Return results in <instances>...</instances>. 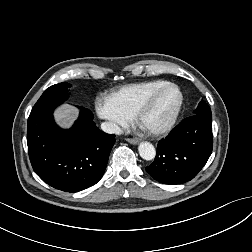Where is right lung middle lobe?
I'll return each instance as SVG.
<instances>
[{
    "label": "right lung middle lobe",
    "instance_id": "right-lung-middle-lobe-1",
    "mask_svg": "<svg viewBox=\"0 0 252 252\" xmlns=\"http://www.w3.org/2000/svg\"><path fill=\"white\" fill-rule=\"evenodd\" d=\"M69 87L71 85L64 82L47 88L34 105L30 115L37 114L47 107L63 103L68 98Z\"/></svg>",
    "mask_w": 252,
    "mask_h": 252
}]
</instances>
